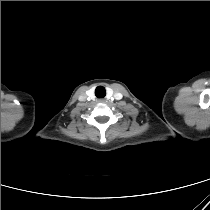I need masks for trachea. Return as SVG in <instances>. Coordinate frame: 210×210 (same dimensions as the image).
I'll list each match as a JSON object with an SVG mask.
<instances>
[{
  "label": "trachea",
  "instance_id": "trachea-1",
  "mask_svg": "<svg viewBox=\"0 0 210 210\" xmlns=\"http://www.w3.org/2000/svg\"><path fill=\"white\" fill-rule=\"evenodd\" d=\"M105 95V89L103 87H98L96 89V96L103 97Z\"/></svg>",
  "mask_w": 210,
  "mask_h": 210
}]
</instances>
